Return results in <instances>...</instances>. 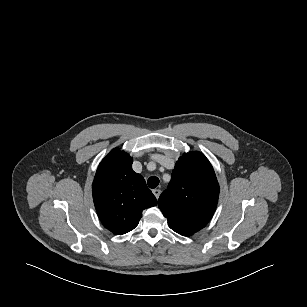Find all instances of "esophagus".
<instances>
[{
    "label": "esophagus",
    "instance_id": "esophagus-1",
    "mask_svg": "<svg viewBox=\"0 0 307 307\" xmlns=\"http://www.w3.org/2000/svg\"><path fill=\"white\" fill-rule=\"evenodd\" d=\"M152 192L155 195L156 199H158L161 194L160 189H154Z\"/></svg>",
    "mask_w": 307,
    "mask_h": 307
}]
</instances>
